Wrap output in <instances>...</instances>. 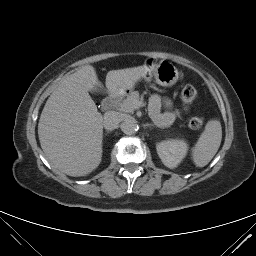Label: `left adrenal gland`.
<instances>
[{"label":"left adrenal gland","instance_id":"1","mask_svg":"<svg viewBox=\"0 0 256 256\" xmlns=\"http://www.w3.org/2000/svg\"><path fill=\"white\" fill-rule=\"evenodd\" d=\"M144 126H153V124H145Z\"/></svg>","mask_w":256,"mask_h":256}]
</instances>
